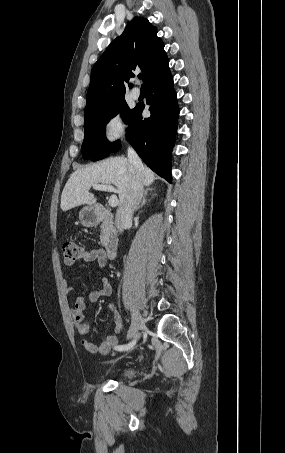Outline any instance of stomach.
<instances>
[{"mask_svg":"<svg viewBox=\"0 0 285 453\" xmlns=\"http://www.w3.org/2000/svg\"><path fill=\"white\" fill-rule=\"evenodd\" d=\"M81 224L85 227H93L98 223V213L93 207H84L79 212Z\"/></svg>","mask_w":285,"mask_h":453,"instance_id":"1","label":"stomach"}]
</instances>
